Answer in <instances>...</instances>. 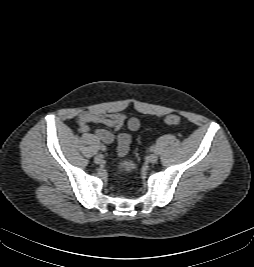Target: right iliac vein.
Returning a JSON list of instances; mask_svg holds the SVG:
<instances>
[{"instance_id":"1","label":"right iliac vein","mask_w":254,"mask_h":267,"mask_svg":"<svg viewBox=\"0 0 254 267\" xmlns=\"http://www.w3.org/2000/svg\"><path fill=\"white\" fill-rule=\"evenodd\" d=\"M102 161H103V155L102 154H98V155L95 156L94 162L96 164H100V163H102Z\"/></svg>"}]
</instances>
